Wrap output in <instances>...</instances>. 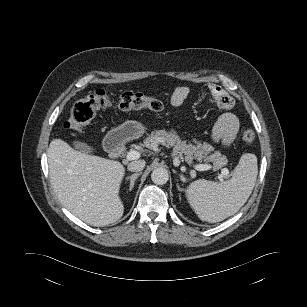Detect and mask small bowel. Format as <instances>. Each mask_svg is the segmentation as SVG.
Listing matches in <instances>:
<instances>
[{
    "instance_id": "1",
    "label": "small bowel",
    "mask_w": 307,
    "mask_h": 307,
    "mask_svg": "<svg viewBox=\"0 0 307 307\" xmlns=\"http://www.w3.org/2000/svg\"><path fill=\"white\" fill-rule=\"evenodd\" d=\"M207 88L216 104L221 109H229L232 106V99L224 90L213 83H208ZM190 94L188 86L177 87L171 95L170 104L173 107H180ZM239 131V120L230 112L222 114L213 127L211 138L214 143L222 146H230L236 138Z\"/></svg>"
}]
</instances>
